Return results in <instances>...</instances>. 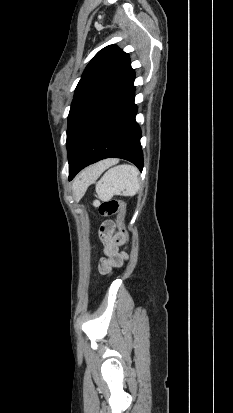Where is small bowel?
<instances>
[{
    "label": "small bowel",
    "instance_id": "small-bowel-1",
    "mask_svg": "<svg viewBox=\"0 0 233 413\" xmlns=\"http://www.w3.org/2000/svg\"><path fill=\"white\" fill-rule=\"evenodd\" d=\"M101 238L104 244V253L107 256L99 262V271L101 274H110L114 267H119L126 259L124 253L119 252V246L123 245L125 238L119 233H114V224L112 222L105 223Z\"/></svg>",
    "mask_w": 233,
    "mask_h": 413
}]
</instances>
